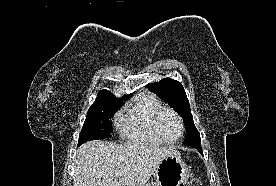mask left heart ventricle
<instances>
[{
    "instance_id": "b2bd125f",
    "label": "left heart ventricle",
    "mask_w": 276,
    "mask_h": 186,
    "mask_svg": "<svg viewBox=\"0 0 276 186\" xmlns=\"http://www.w3.org/2000/svg\"><path fill=\"white\" fill-rule=\"evenodd\" d=\"M159 128L163 136L168 140L176 139L181 128L176 117L171 113H164L159 120Z\"/></svg>"
}]
</instances>
